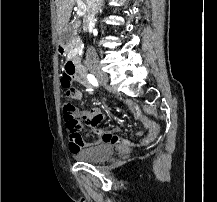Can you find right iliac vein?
Wrapping results in <instances>:
<instances>
[{"label": "right iliac vein", "instance_id": "obj_1", "mask_svg": "<svg viewBox=\"0 0 217 202\" xmlns=\"http://www.w3.org/2000/svg\"><path fill=\"white\" fill-rule=\"evenodd\" d=\"M98 79L100 82H103V83L108 82V77L106 75H99Z\"/></svg>", "mask_w": 217, "mask_h": 202}]
</instances>
